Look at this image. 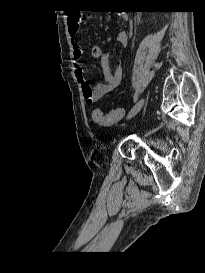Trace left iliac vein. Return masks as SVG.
Masks as SVG:
<instances>
[{"mask_svg": "<svg viewBox=\"0 0 205 273\" xmlns=\"http://www.w3.org/2000/svg\"><path fill=\"white\" fill-rule=\"evenodd\" d=\"M145 104V98H141L130 110V112L127 115V119H130L134 117L144 106Z\"/></svg>", "mask_w": 205, "mask_h": 273, "instance_id": "1", "label": "left iliac vein"}]
</instances>
